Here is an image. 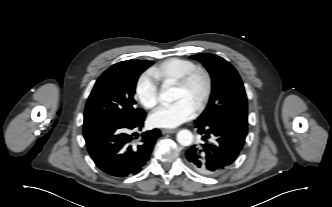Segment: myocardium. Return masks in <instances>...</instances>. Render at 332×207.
<instances>
[{
    "mask_svg": "<svg viewBox=\"0 0 332 207\" xmlns=\"http://www.w3.org/2000/svg\"><path fill=\"white\" fill-rule=\"evenodd\" d=\"M198 76H201L204 81L203 90L195 105L196 110L200 111L206 106L212 93L213 80L210 72L204 67L195 66L176 80L175 85L181 89L188 90Z\"/></svg>",
    "mask_w": 332,
    "mask_h": 207,
    "instance_id": "myocardium-1",
    "label": "myocardium"
}]
</instances>
